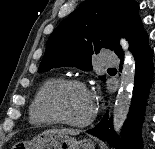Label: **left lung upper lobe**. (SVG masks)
<instances>
[{
    "instance_id": "1",
    "label": "left lung upper lobe",
    "mask_w": 155,
    "mask_h": 149,
    "mask_svg": "<svg viewBox=\"0 0 155 149\" xmlns=\"http://www.w3.org/2000/svg\"><path fill=\"white\" fill-rule=\"evenodd\" d=\"M138 9L134 0H86L50 35L38 72L68 66L90 71L93 54L116 52L120 37L129 41L139 30Z\"/></svg>"
}]
</instances>
